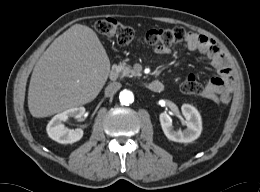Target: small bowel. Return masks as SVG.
I'll list each match as a JSON object with an SVG mask.
<instances>
[{"instance_id": "1", "label": "small bowel", "mask_w": 260, "mask_h": 192, "mask_svg": "<svg viewBox=\"0 0 260 192\" xmlns=\"http://www.w3.org/2000/svg\"><path fill=\"white\" fill-rule=\"evenodd\" d=\"M185 42L189 50L207 56L216 70L215 76L202 87L198 95L219 103H227L235 86V77L219 45L212 39L194 32L188 33ZM154 51L158 54H168L170 49L156 47Z\"/></svg>"}]
</instances>
